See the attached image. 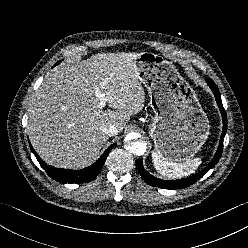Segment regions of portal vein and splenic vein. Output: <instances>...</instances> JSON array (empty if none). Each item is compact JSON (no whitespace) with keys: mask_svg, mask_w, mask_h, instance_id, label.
Returning <instances> with one entry per match:
<instances>
[{"mask_svg":"<svg viewBox=\"0 0 248 248\" xmlns=\"http://www.w3.org/2000/svg\"><path fill=\"white\" fill-rule=\"evenodd\" d=\"M96 96L100 99V104H99L100 108L105 107L107 100L105 99L104 95L101 94L100 92H97Z\"/></svg>","mask_w":248,"mask_h":248,"instance_id":"1","label":"portal vein and splenic vein"}]
</instances>
